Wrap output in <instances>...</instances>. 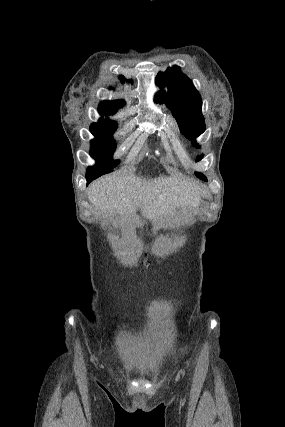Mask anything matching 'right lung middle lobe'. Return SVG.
Here are the masks:
<instances>
[{
  "label": "right lung middle lobe",
  "instance_id": "1",
  "mask_svg": "<svg viewBox=\"0 0 285 427\" xmlns=\"http://www.w3.org/2000/svg\"><path fill=\"white\" fill-rule=\"evenodd\" d=\"M117 125L105 127H91V133L96 137L91 141L90 155L95 159L96 164L87 169L86 175H104L113 171L119 164L118 160H113L112 156L116 149L115 141L112 138Z\"/></svg>",
  "mask_w": 285,
  "mask_h": 427
}]
</instances>
